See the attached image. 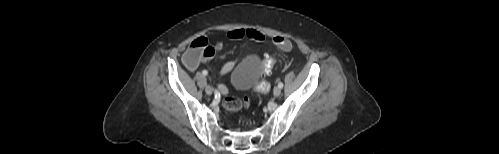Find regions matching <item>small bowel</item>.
<instances>
[{
	"label": "small bowel",
	"mask_w": 499,
	"mask_h": 154,
	"mask_svg": "<svg viewBox=\"0 0 499 154\" xmlns=\"http://www.w3.org/2000/svg\"><path fill=\"white\" fill-rule=\"evenodd\" d=\"M226 36L230 40H238V39L247 37V38H250L254 41L261 42L265 39L264 35L255 29H234V30L229 31ZM223 48H224V42H222V41H219L214 45V49L217 51H220ZM237 62H238V60H235V61H230V62H227L226 64H224V66L222 67V69L220 71V75L224 76L227 73H229L236 66ZM196 67L197 66H193L190 68L195 69ZM219 89L223 94L228 93L227 87L223 84H219Z\"/></svg>",
	"instance_id": "1"
}]
</instances>
